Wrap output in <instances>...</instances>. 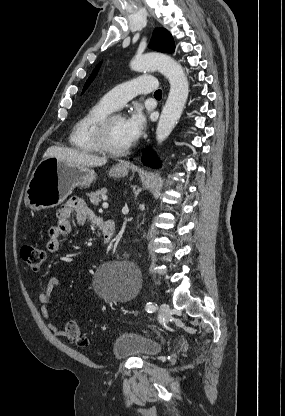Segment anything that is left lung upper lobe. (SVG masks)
Segmentation results:
<instances>
[{
  "instance_id": "left-lung-upper-lobe-1",
  "label": "left lung upper lobe",
  "mask_w": 285,
  "mask_h": 416,
  "mask_svg": "<svg viewBox=\"0 0 285 416\" xmlns=\"http://www.w3.org/2000/svg\"><path fill=\"white\" fill-rule=\"evenodd\" d=\"M149 48L162 52V53H172L174 52L175 45L174 40L171 36V34L164 28H156L153 32ZM99 69V65L94 69L91 76L86 81L83 92L86 90V88L90 85V83L93 81L97 71Z\"/></svg>"
}]
</instances>
